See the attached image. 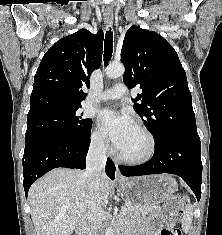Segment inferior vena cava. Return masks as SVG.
Masks as SVG:
<instances>
[{
    "label": "inferior vena cava",
    "mask_w": 222,
    "mask_h": 235,
    "mask_svg": "<svg viewBox=\"0 0 222 235\" xmlns=\"http://www.w3.org/2000/svg\"><path fill=\"white\" fill-rule=\"evenodd\" d=\"M106 160L104 140L99 139L92 142L86 158L87 168L85 171L90 196L88 204L89 216L87 219V235H100L101 200L98 190L101 177L104 174Z\"/></svg>",
    "instance_id": "obj_1"
}]
</instances>
